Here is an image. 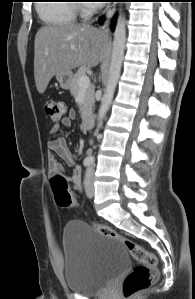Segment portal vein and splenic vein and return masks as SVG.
Instances as JSON below:
<instances>
[{
  "instance_id": "18ae733b",
  "label": "portal vein and splenic vein",
  "mask_w": 195,
  "mask_h": 299,
  "mask_svg": "<svg viewBox=\"0 0 195 299\" xmlns=\"http://www.w3.org/2000/svg\"><path fill=\"white\" fill-rule=\"evenodd\" d=\"M79 87L81 89H85L90 85V79L88 76L83 75L80 77L79 81H78Z\"/></svg>"
}]
</instances>
